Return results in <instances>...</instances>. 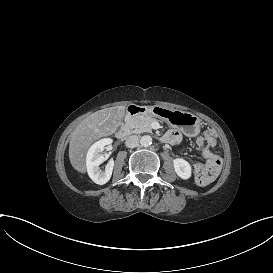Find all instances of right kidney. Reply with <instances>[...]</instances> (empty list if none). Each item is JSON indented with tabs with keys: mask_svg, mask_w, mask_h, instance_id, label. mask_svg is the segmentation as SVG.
I'll return each instance as SVG.
<instances>
[{
	"mask_svg": "<svg viewBox=\"0 0 273 273\" xmlns=\"http://www.w3.org/2000/svg\"><path fill=\"white\" fill-rule=\"evenodd\" d=\"M112 143V139L104 138L95 142L88 150L86 155V166L89 177L99 185H103L109 181L112 175L114 161L111 159L105 167V171L99 168V165L105 161L102 152L105 145Z\"/></svg>",
	"mask_w": 273,
	"mask_h": 273,
	"instance_id": "ca27d5eb",
	"label": "right kidney"
}]
</instances>
